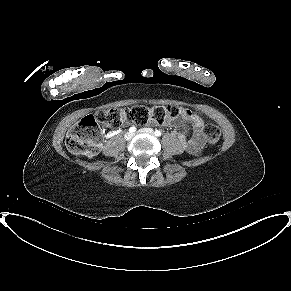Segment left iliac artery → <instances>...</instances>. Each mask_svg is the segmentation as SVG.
<instances>
[{
	"mask_svg": "<svg viewBox=\"0 0 291 291\" xmlns=\"http://www.w3.org/2000/svg\"><path fill=\"white\" fill-rule=\"evenodd\" d=\"M154 134H155V136H158V137H159V136H161L162 133H161V131L156 130V131L154 132Z\"/></svg>",
	"mask_w": 291,
	"mask_h": 291,
	"instance_id": "44dca946",
	"label": "left iliac artery"
}]
</instances>
